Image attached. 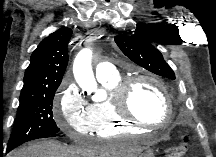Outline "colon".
Wrapping results in <instances>:
<instances>
[{
  "mask_svg": "<svg viewBox=\"0 0 216 157\" xmlns=\"http://www.w3.org/2000/svg\"><path fill=\"white\" fill-rule=\"evenodd\" d=\"M188 138L184 136L181 141L172 148L170 151V157H184L187 153Z\"/></svg>",
  "mask_w": 216,
  "mask_h": 157,
  "instance_id": "1",
  "label": "colon"
}]
</instances>
